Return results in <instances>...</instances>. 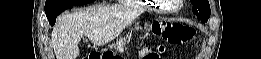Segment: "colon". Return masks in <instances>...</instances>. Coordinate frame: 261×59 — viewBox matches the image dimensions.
<instances>
[{"label":"colon","instance_id":"1","mask_svg":"<svg viewBox=\"0 0 261 59\" xmlns=\"http://www.w3.org/2000/svg\"><path fill=\"white\" fill-rule=\"evenodd\" d=\"M149 32L153 35L161 36L164 41L172 45L185 44L191 41L195 35L192 27L172 22L153 21L148 26ZM165 51L163 45L158 46L155 50L144 48L141 51V59H160L162 53ZM119 58L112 51H91L85 59H117Z\"/></svg>","mask_w":261,"mask_h":59}]
</instances>
